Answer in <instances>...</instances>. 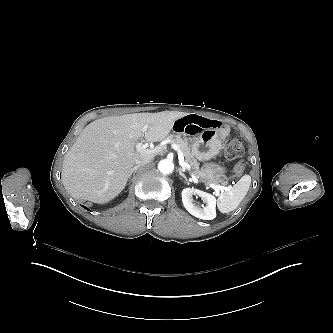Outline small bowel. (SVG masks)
<instances>
[{
    "mask_svg": "<svg viewBox=\"0 0 333 333\" xmlns=\"http://www.w3.org/2000/svg\"><path fill=\"white\" fill-rule=\"evenodd\" d=\"M172 127L175 132L181 133L186 130L189 134L193 135L198 134L206 128H210L211 132L214 134H220L224 130L222 122L214 121L196 114H188L175 119Z\"/></svg>",
    "mask_w": 333,
    "mask_h": 333,
    "instance_id": "1",
    "label": "small bowel"
}]
</instances>
